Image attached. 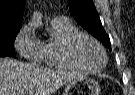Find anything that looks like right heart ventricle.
<instances>
[{"label":"right heart ventricle","mask_w":135,"mask_h":95,"mask_svg":"<svg viewBox=\"0 0 135 95\" xmlns=\"http://www.w3.org/2000/svg\"><path fill=\"white\" fill-rule=\"evenodd\" d=\"M77 28L65 18H55L49 23V36L42 42L43 63L52 68H75L60 56V47Z\"/></svg>","instance_id":"right-heart-ventricle-1"}]
</instances>
